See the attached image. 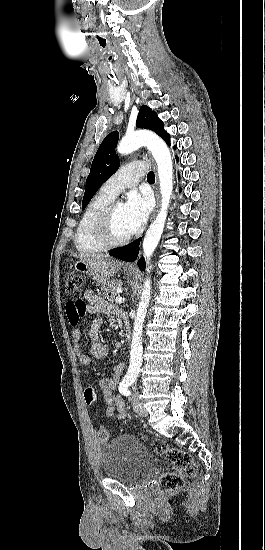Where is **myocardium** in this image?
<instances>
[{
	"label": "myocardium",
	"instance_id": "obj_1",
	"mask_svg": "<svg viewBox=\"0 0 265 550\" xmlns=\"http://www.w3.org/2000/svg\"><path fill=\"white\" fill-rule=\"evenodd\" d=\"M116 203H109L97 216L94 222L96 237L107 247H116L126 244L133 234L124 237H115L112 231V217Z\"/></svg>",
	"mask_w": 265,
	"mask_h": 550
}]
</instances>
